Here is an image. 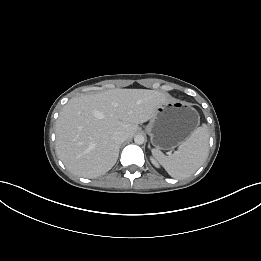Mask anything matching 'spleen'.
I'll use <instances>...</instances> for the list:
<instances>
[{
    "mask_svg": "<svg viewBox=\"0 0 261 261\" xmlns=\"http://www.w3.org/2000/svg\"><path fill=\"white\" fill-rule=\"evenodd\" d=\"M152 154L171 177L179 179L193 175L208 156L206 126L198 127L173 154L166 156L158 149H153Z\"/></svg>",
    "mask_w": 261,
    "mask_h": 261,
    "instance_id": "3e777b00",
    "label": "spleen"
}]
</instances>
